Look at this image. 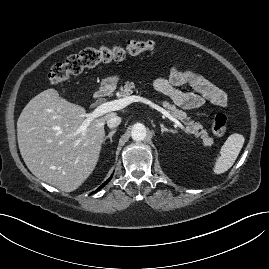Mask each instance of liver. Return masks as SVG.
<instances>
[{
	"label": "liver",
	"instance_id": "6515ba94",
	"mask_svg": "<svg viewBox=\"0 0 269 269\" xmlns=\"http://www.w3.org/2000/svg\"><path fill=\"white\" fill-rule=\"evenodd\" d=\"M111 115L116 113L95 118L83 134L79 128L87 117L85 109L61 98L55 89L44 90L28 102L17 121L26 166L61 191L76 190L95 169Z\"/></svg>",
	"mask_w": 269,
	"mask_h": 269
}]
</instances>
